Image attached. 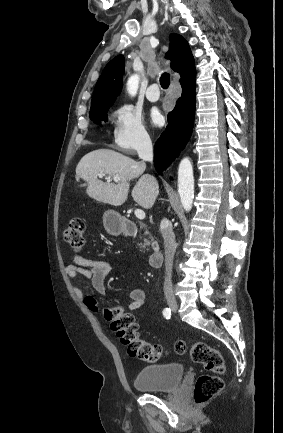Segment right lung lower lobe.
I'll list each match as a JSON object with an SVG mask.
<instances>
[{
    "mask_svg": "<svg viewBox=\"0 0 283 433\" xmlns=\"http://www.w3.org/2000/svg\"><path fill=\"white\" fill-rule=\"evenodd\" d=\"M182 95L177 100L175 109L168 114V125L155 144L154 166L161 169L182 151L188 142L195 117V77L181 82Z\"/></svg>",
    "mask_w": 283,
    "mask_h": 433,
    "instance_id": "1",
    "label": "right lung lower lobe"
}]
</instances>
